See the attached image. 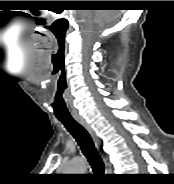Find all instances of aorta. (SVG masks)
<instances>
[{
	"instance_id": "1",
	"label": "aorta",
	"mask_w": 174,
	"mask_h": 184,
	"mask_svg": "<svg viewBox=\"0 0 174 184\" xmlns=\"http://www.w3.org/2000/svg\"><path fill=\"white\" fill-rule=\"evenodd\" d=\"M86 171V164L83 160L73 161L65 170L67 174H84Z\"/></svg>"
}]
</instances>
